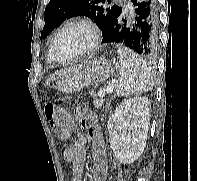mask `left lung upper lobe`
<instances>
[{"label":"left lung upper lobe","mask_w":197,"mask_h":181,"mask_svg":"<svg viewBox=\"0 0 197 181\" xmlns=\"http://www.w3.org/2000/svg\"><path fill=\"white\" fill-rule=\"evenodd\" d=\"M123 9L113 5L111 0H50L44 12L45 25L41 38L51 33L66 19L75 16H87L96 22L106 35L108 27Z\"/></svg>","instance_id":"5c2ea615"}]
</instances>
